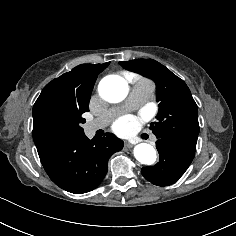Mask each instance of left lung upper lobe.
<instances>
[{"mask_svg":"<svg viewBox=\"0 0 236 236\" xmlns=\"http://www.w3.org/2000/svg\"><path fill=\"white\" fill-rule=\"evenodd\" d=\"M125 69L139 73L156 83L159 112L151 130L159 139L172 136L197 142L198 108L185 82L153 59L120 61Z\"/></svg>","mask_w":236,"mask_h":236,"instance_id":"obj_1","label":"left lung upper lobe"}]
</instances>
